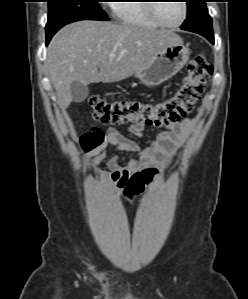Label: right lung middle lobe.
Wrapping results in <instances>:
<instances>
[{
	"label": "right lung middle lobe",
	"mask_w": 248,
	"mask_h": 299,
	"mask_svg": "<svg viewBox=\"0 0 248 299\" xmlns=\"http://www.w3.org/2000/svg\"><path fill=\"white\" fill-rule=\"evenodd\" d=\"M47 42L64 25L78 20H107L98 0H48Z\"/></svg>",
	"instance_id": "dd1d6c3e"
}]
</instances>
